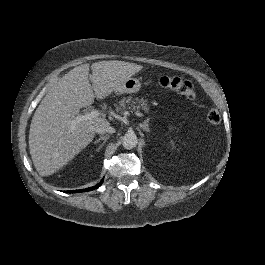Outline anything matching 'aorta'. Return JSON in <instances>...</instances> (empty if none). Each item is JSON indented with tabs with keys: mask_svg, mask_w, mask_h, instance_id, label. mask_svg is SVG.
<instances>
[{
	"mask_svg": "<svg viewBox=\"0 0 265 265\" xmlns=\"http://www.w3.org/2000/svg\"><path fill=\"white\" fill-rule=\"evenodd\" d=\"M137 145V136L134 132H127L123 136V146L127 149H131Z\"/></svg>",
	"mask_w": 265,
	"mask_h": 265,
	"instance_id": "762f6f07",
	"label": "aorta"
}]
</instances>
